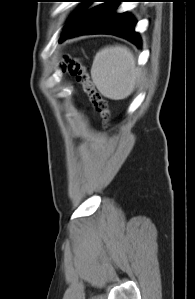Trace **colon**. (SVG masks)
I'll return each instance as SVG.
<instances>
[{
  "label": "colon",
  "instance_id": "1",
  "mask_svg": "<svg viewBox=\"0 0 195 299\" xmlns=\"http://www.w3.org/2000/svg\"><path fill=\"white\" fill-rule=\"evenodd\" d=\"M62 67L81 84L83 91L91 99L97 111L107 117L109 115L108 102L96 90L85 64L79 58L67 56Z\"/></svg>",
  "mask_w": 195,
  "mask_h": 299
}]
</instances>
